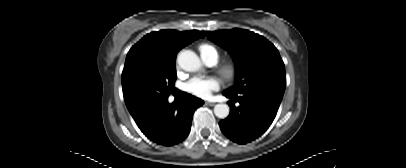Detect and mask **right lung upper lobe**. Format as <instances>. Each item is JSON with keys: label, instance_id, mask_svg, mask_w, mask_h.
I'll list each match as a JSON object with an SVG mask.
<instances>
[{"label": "right lung upper lobe", "instance_id": "cb5924a9", "mask_svg": "<svg viewBox=\"0 0 406 168\" xmlns=\"http://www.w3.org/2000/svg\"><path fill=\"white\" fill-rule=\"evenodd\" d=\"M200 37H203V34L197 30H161L149 33L129 50L126 62L134 58H144L161 63H175L177 52Z\"/></svg>", "mask_w": 406, "mask_h": 168}]
</instances>
